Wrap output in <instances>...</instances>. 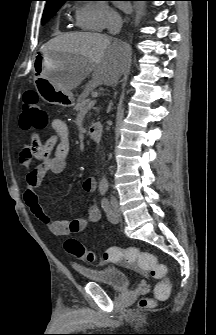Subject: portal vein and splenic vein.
I'll return each mask as SVG.
<instances>
[{
    "mask_svg": "<svg viewBox=\"0 0 216 335\" xmlns=\"http://www.w3.org/2000/svg\"><path fill=\"white\" fill-rule=\"evenodd\" d=\"M96 102H97V100L96 99H94V100H92V101H90L89 102V108H91V107H93L95 104H96Z\"/></svg>",
    "mask_w": 216,
    "mask_h": 335,
    "instance_id": "18ae733b",
    "label": "portal vein and splenic vein"
}]
</instances>
